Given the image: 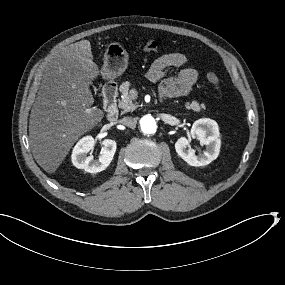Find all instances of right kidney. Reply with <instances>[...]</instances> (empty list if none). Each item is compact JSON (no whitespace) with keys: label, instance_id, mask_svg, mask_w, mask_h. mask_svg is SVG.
Returning a JSON list of instances; mask_svg holds the SVG:
<instances>
[{"label":"right kidney","instance_id":"right-kidney-1","mask_svg":"<svg viewBox=\"0 0 285 285\" xmlns=\"http://www.w3.org/2000/svg\"><path fill=\"white\" fill-rule=\"evenodd\" d=\"M94 143L95 139L88 136L82 138L75 146L72 153V163L76 168L83 169L88 173H99L110 165L116 152V141L112 139L102 140L100 142L102 150L97 160L87 155L93 149Z\"/></svg>","mask_w":285,"mask_h":285}]
</instances>
